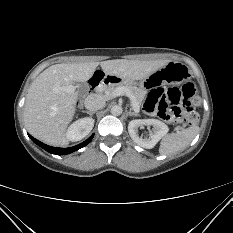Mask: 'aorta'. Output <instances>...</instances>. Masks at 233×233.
Returning a JSON list of instances; mask_svg holds the SVG:
<instances>
[{
  "label": "aorta",
  "mask_w": 233,
  "mask_h": 233,
  "mask_svg": "<svg viewBox=\"0 0 233 233\" xmlns=\"http://www.w3.org/2000/svg\"><path fill=\"white\" fill-rule=\"evenodd\" d=\"M122 106L121 105H114L112 106L111 108V114L114 115V116H119L122 114Z\"/></svg>",
  "instance_id": "obj_1"
}]
</instances>
